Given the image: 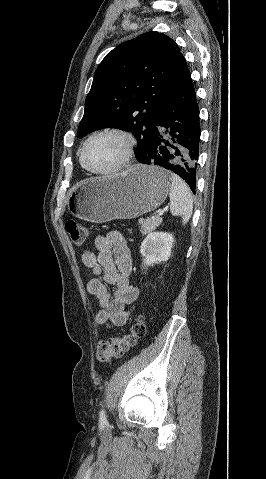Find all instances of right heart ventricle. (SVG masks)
Returning a JSON list of instances; mask_svg holds the SVG:
<instances>
[{"mask_svg":"<svg viewBox=\"0 0 266 479\" xmlns=\"http://www.w3.org/2000/svg\"><path fill=\"white\" fill-rule=\"evenodd\" d=\"M80 164H81V166H82L83 168H85L84 165H83V163H82L81 156H80Z\"/></svg>","mask_w":266,"mask_h":479,"instance_id":"right-heart-ventricle-1","label":"right heart ventricle"}]
</instances>
